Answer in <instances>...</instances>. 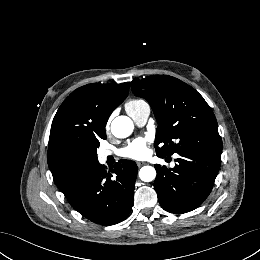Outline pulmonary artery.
<instances>
[{
    "instance_id": "pulmonary-artery-1",
    "label": "pulmonary artery",
    "mask_w": 260,
    "mask_h": 260,
    "mask_svg": "<svg viewBox=\"0 0 260 260\" xmlns=\"http://www.w3.org/2000/svg\"><path fill=\"white\" fill-rule=\"evenodd\" d=\"M126 111L138 126H143L147 122L150 115V108L147 103L135 108L126 107ZM111 154V151L108 150L100 151L102 158H105Z\"/></svg>"
}]
</instances>
